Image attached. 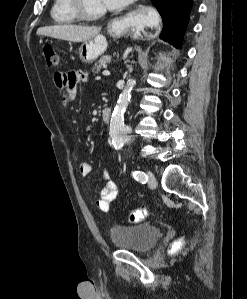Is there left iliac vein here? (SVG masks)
Segmentation results:
<instances>
[{
	"label": "left iliac vein",
	"mask_w": 247,
	"mask_h": 299,
	"mask_svg": "<svg viewBox=\"0 0 247 299\" xmlns=\"http://www.w3.org/2000/svg\"><path fill=\"white\" fill-rule=\"evenodd\" d=\"M147 177H148V180H147V183H148V186L150 188H156L157 187V180L154 176V174L150 171L147 172Z\"/></svg>",
	"instance_id": "4c4485c4"
}]
</instances>
